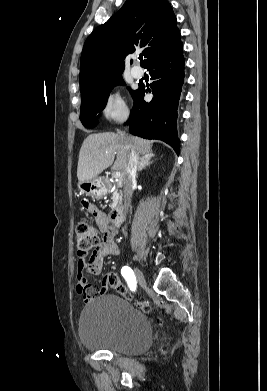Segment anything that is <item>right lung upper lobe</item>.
<instances>
[{
  "instance_id": "right-lung-upper-lobe-1",
  "label": "right lung upper lobe",
  "mask_w": 267,
  "mask_h": 391,
  "mask_svg": "<svg viewBox=\"0 0 267 391\" xmlns=\"http://www.w3.org/2000/svg\"><path fill=\"white\" fill-rule=\"evenodd\" d=\"M176 17L166 0H127L87 38L80 60L81 94L105 78L122 73L126 55L143 48L147 66L180 44Z\"/></svg>"
}]
</instances>
